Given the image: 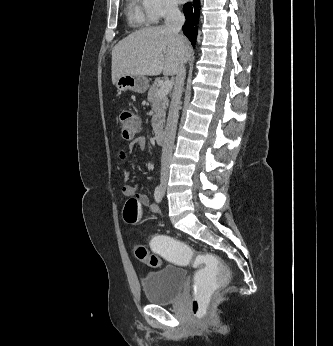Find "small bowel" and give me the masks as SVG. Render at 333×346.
<instances>
[{"instance_id": "obj_1", "label": "small bowel", "mask_w": 333, "mask_h": 346, "mask_svg": "<svg viewBox=\"0 0 333 346\" xmlns=\"http://www.w3.org/2000/svg\"><path fill=\"white\" fill-rule=\"evenodd\" d=\"M147 141L144 137H138L133 140L129 147L128 152L131 153L135 150H143L146 147ZM120 157L124 159L126 157V153L122 151L120 153ZM131 178V172L125 171L123 174V179L128 181ZM139 186L137 184H125L123 187V194L125 196H135L139 199L141 205L146 206L153 213H158L160 211L159 207L156 204L150 202L149 197L145 194H140L138 192Z\"/></svg>"}]
</instances>
